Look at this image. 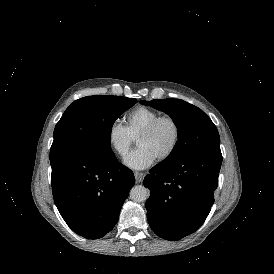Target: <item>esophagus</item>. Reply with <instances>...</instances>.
I'll return each instance as SVG.
<instances>
[{
    "label": "esophagus",
    "mask_w": 274,
    "mask_h": 274,
    "mask_svg": "<svg viewBox=\"0 0 274 274\" xmlns=\"http://www.w3.org/2000/svg\"><path fill=\"white\" fill-rule=\"evenodd\" d=\"M134 175H135V180L137 183H140L145 176V174L143 172H135Z\"/></svg>",
    "instance_id": "1"
}]
</instances>
